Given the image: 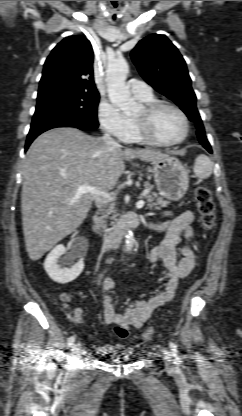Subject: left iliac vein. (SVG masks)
Segmentation results:
<instances>
[{"instance_id": "4c4485c4", "label": "left iliac vein", "mask_w": 242, "mask_h": 416, "mask_svg": "<svg viewBox=\"0 0 242 416\" xmlns=\"http://www.w3.org/2000/svg\"><path fill=\"white\" fill-rule=\"evenodd\" d=\"M166 359H167V365H168L169 367H172V366H173V364H172V361H171V357H170L169 355H167V356H166Z\"/></svg>"}]
</instances>
